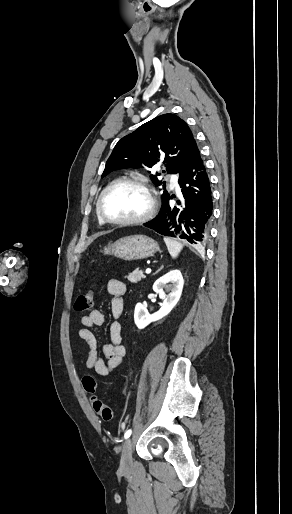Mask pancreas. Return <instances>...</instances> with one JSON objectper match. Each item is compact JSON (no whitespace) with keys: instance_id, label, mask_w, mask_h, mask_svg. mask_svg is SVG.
<instances>
[{"instance_id":"1","label":"pancreas","mask_w":292,"mask_h":514,"mask_svg":"<svg viewBox=\"0 0 292 514\" xmlns=\"http://www.w3.org/2000/svg\"><path fill=\"white\" fill-rule=\"evenodd\" d=\"M125 278H128L129 282H133V284H137V282H139V280H141V278H146V276H144L142 270H139V268H137V270H134V272H132V274H128V276H125Z\"/></svg>"}]
</instances>
